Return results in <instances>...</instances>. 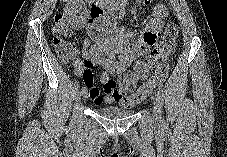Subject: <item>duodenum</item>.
I'll return each mask as SVG.
<instances>
[{
	"mask_svg": "<svg viewBox=\"0 0 227 157\" xmlns=\"http://www.w3.org/2000/svg\"><path fill=\"white\" fill-rule=\"evenodd\" d=\"M88 9H91V18L88 20L90 32L101 33L115 30L117 16L106 14L105 5L102 0H90Z\"/></svg>",
	"mask_w": 227,
	"mask_h": 157,
	"instance_id": "410a0bca",
	"label": "duodenum"
}]
</instances>
